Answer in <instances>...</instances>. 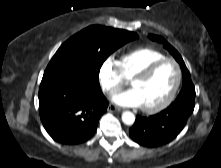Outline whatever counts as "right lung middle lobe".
<instances>
[{"mask_svg": "<svg viewBox=\"0 0 221 168\" xmlns=\"http://www.w3.org/2000/svg\"><path fill=\"white\" fill-rule=\"evenodd\" d=\"M137 38V34L126 30L89 26L64 42L47 68H81L98 77L107 57Z\"/></svg>", "mask_w": 221, "mask_h": 168, "instance_id": "obj_1", "label": "right lung middle lobe"}]
</instances>
